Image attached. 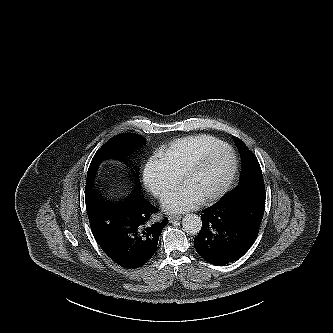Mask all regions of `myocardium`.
<instances>
[{"instance_id": "obj_1", "label": "myocardium", "mask_w": 333, "mask_h": 333, "mask_svg": "<svg viewBox=\"0 0 333 333\" xmlns=\"http://www.w3.org/2000/svg\"><path fill=\"white\" fill-rule=\"evenodd\" d=\"M222 150H227L230 154L231 157L230 170L223 183L215 191L211 192L210 194L202 198L204 202H211L222 197L231 188L236 178L239 167V160L235 149L230 144L225 142L220 145H217L199 155L180 175L181 181L184 182L190 176L198 172L214 155H216Z\"/></svg>"}]
</instances>
